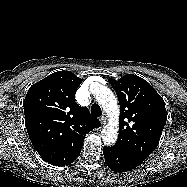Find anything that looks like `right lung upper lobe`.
Returning <instances> with one entry per match:
<instances>
[{
  "label": "right lung upper lobe",
  "instance_id": "obj_1",
  "mask_svg": "<svg viewBox=\"0 0 187 187\" xmlns=\"http://www.w3.org/2000/svg\"><path fill=\"white\" fill-rule=\"evenodd\" d=\"M82 79L70 71H58L33 84L24 100L25 124L39 155L55 166L72 163L84 138L101 126L86 107L75 102Z\"/></svg>",
  "mask_w": 187,
  "mask_h": 187
}]
</instances>
